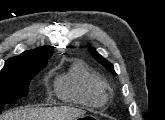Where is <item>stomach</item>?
Listing matches in <instances>:
<instances>
[{
    "label": "stomach",
    "instance_id": "0dacf381",
    "mask_svg": "<svg viewBox=\"0 0 165 120\" xmlns=\"http://www.w3.org/2000/svg\"><path fill=\"white\" fill-rule=\"evenodd\" d=\"M77 119L90 120V119H97V118L91 114H82V115H79L78 117H76V120Z\"/></svg>",
    "mask_w": 165,
    "mask_h": 120
}]
</instances>
